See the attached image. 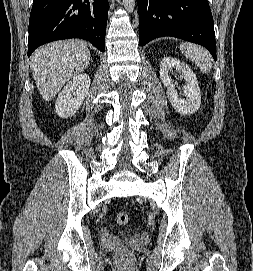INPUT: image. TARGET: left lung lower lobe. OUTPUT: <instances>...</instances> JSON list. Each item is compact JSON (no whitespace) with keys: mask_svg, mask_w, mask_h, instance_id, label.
Listing matches in <instances>:
<instances>
[{"mask_svg":"<svg viewBox=\"0 0 253 271\" xmlns=\"http://www.w3.org/2000/svg\"><path fill=\"white\" fill-rule=\"evenodd\" d=\"M139 44L172 36L206 47L216 61L214 22L207 0H137Z\"/></svg>","mask_w":253,"mask_h":271,"instance_id":"obj_1","label":"left lung lower lobe"}]
</instances>
